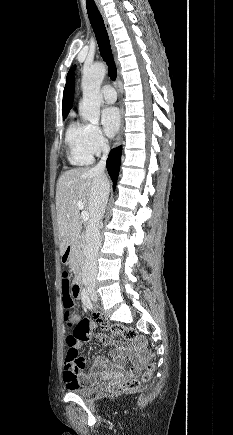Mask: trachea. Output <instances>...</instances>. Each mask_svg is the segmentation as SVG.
<instances>
[{"label": "trachea", "mask_w": 233, "mask_h": 435, "mask_svg": "<svg viewBox=\"0 0 233 435\" xmlns=\"http://www.w3.org/2000/svg\"><path fill=\"white\" fill-rule=\"evenodd\" d=\"M86 8L90 23L97 39L100 55L108 66V73L112 81L116 80L117 69L114 62L110 41L103 18L94 0H86Z\"/></svg>", "instance_id": "obj_1"}]
</instances>
